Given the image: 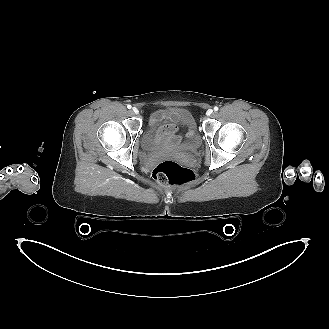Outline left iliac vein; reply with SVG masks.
I'll list each match as a JSON object with an SVG mask.
<instances>
[{
  "label": "left iliac vein",
  "instance_id": "1",
  "mask_svg": "<svg viewBox=\"0 0 329 329\" xmlns=\"http://www.w3.org/2000/svg\"><path fill=\"white\" fill-rule=\"evenodd\" d=\"M212 113H213V109H208L207 112H206V115L210 116Z\"/></svg>",
  "mask_w": 329,
  "mask_h": 329
}]
</instances>
